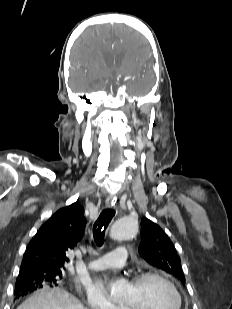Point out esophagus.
<instances>
[{
    "mask_svg": "<svg viewBox=\"0 0 232 309\" xmlns=\"http://www.w3.org/2000/svg\"><path fill=\"white\" fill-rule=\"evenodd\" d=\"M115 204V199L112 196L107 197L106 199V206L114 205Z\"/></svg>",
    "mask_w": 232,
    "mask_h": 309,
    "instance_id": "34e87169",
    "label": "esophagus"
}]
</instances>
